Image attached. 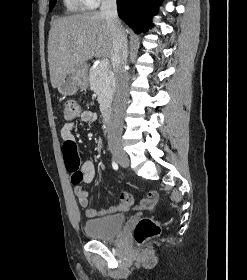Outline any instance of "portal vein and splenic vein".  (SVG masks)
Instances as JSON below:
<instances>
[{"mask_svg":"<svg viewBox=\"0 0 247 280\" xmlns=\"http://www.w3.org/2000/svg\"><path fill=\"white\" fill-rule=\"evenodd\" d=\"M98 66L102 70L108 69L109 68V61H108V59L101 60Z\"/></svg>","mask_w":247,"mask_h":280,"instance_id":"obj_1","label":"portal vein and splenic vein"}]
</instances>
